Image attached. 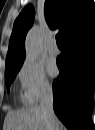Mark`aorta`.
<instances>
[{
    "label": "aorta",
    "instance_id": "obj_1",
    "mask_svg": "<svg viewBox=\"0 0 95 130\" xmlns=\"http://www.w3.org/2000/svg\"><path fill=\"white\" fill-rule=\"evenodd\" d=\"M41 33L38 26L30 29L26 36L25 53L28 61H35L40 54Z\"/></svg>",
    "mask_w": 95,
    "mask_h": 130
}]
</instances>
